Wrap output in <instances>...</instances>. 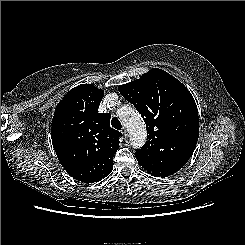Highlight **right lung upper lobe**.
I'll list each match as a JSON object with an SVG mask.
<instances>
[{
  "mask_svg": "<svg viewBox=\"0 0 245 245\" xmlns=\"http://www.w3.org/2000/svg\"><path fill=\"white\" fill-rule=\"evenodd\" d=\"M104 90L92 84L71 89L58 103L51 124L57 157L68 173L93 183L109 175L122 134L110 127L109 113H99Z\"/></svg>",
  "mask_w": 245,
  "mask_h": 245,
  "instance_id": "right-lung-upper-lobe-1",
  "label": "right lung upper lobe"
}]
</instances>
